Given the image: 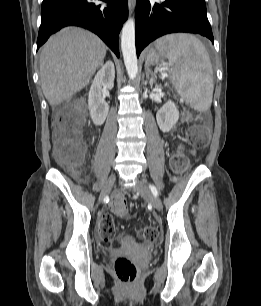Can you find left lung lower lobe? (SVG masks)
<instances>
[{
  "label": "left lung lower lobe",
  "mask_w": 261,
  "mask_h": 306,
  "mask_svg": "<svg viewBox=\"0 0 261 306\" xmlns=\"http://www.w3.org/2000/svg\"><path fill=\"white\" fill-rule=\"evenodd\" d=\"M196 33L214 41L205 0H137L136 52L169 33Z\"/></svg>",
  "instance_id": "left-lung-lower-lobe-1"
}]
</instances>
